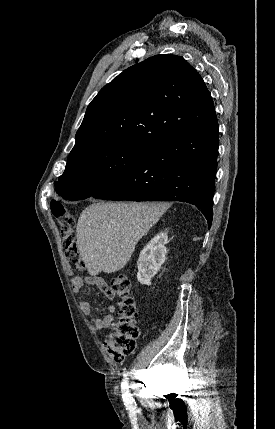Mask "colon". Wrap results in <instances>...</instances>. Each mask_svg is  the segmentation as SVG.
Returning <instances> with one entry per match:
<instances>
[{"label": "colon", "instance_id": "colon-1", "mask_svg": "<svg viewBox=\"0 0 275 429\" xmlns=\"http://www.w3.org/2000/svg\"><path fill=\"white\" fill-rule=\"evenodd\" d=\"M51 211L60 226L61 236L65 243L67 264L72 269L83 270L85 265L76 242L74 217L67 207L59 201H52ZM110 288L114 295L119 298V316L103 345L107 354L115 362L121 363L136 348V341L139 337L138 310L131 295L130 280L126 275L118 274L113 277Z\"/></svg>", "mask_w": 275, "mask_h": 429}]
</instances>
